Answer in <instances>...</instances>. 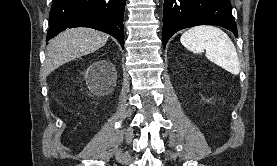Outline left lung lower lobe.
Wrapping results in <instances>:
<instances>
[{"mask_svg": "<svg viewBox=\"0 0 277 166\" xmlns=\"http://www.w3.org/2000/svg\"><path fill=\"white\" fill-rule=\"evenodd\" d=\"M198 25L221 26L238 36L229 0H164V48L174 33Z\"/></svg>", "mask_w": 277, "mask_h": 166, "instance_id": "0a47b994", "label": "left lung lower lobe"}]
</instances>
